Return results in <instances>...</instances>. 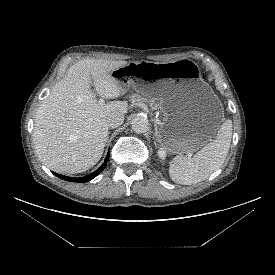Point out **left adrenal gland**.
<instances>
[{"label":"left adrenal gland","instance_id":"1","mask_svg":"<svg viewBox=\"0 0 275 275\" xmlns=\"http://www.w3.org/2000/svg\"><path fill=\"white\" fill-rule=\"evenodd\" d=\"M154 127H155V133L154 136L156 137V141H158V129H157V123L156 120H154ZM154 138V137H153Z\"/></svg>","mask_w":275,"mask_h":275}]
</instances>
